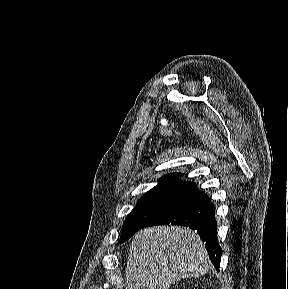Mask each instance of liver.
Returning a JSON list of instances; mask_svg holds the SVG:
<instances>
[{
	"label": "liver",
	"instance_id": "1",
	"mask_svg": "<svg viewBox=\"0 0 288 289\" xmlns=\"http://www.w3.org/2000/svg\"><path fill=\"white\" fill-rule=\"evenodd\" d=\"M211 268L199 235L181 226H154L133 238L125 270L126 289H168Z\"/></svg>",
	"mask_w": 288,
	"mask_h": 289
}]
</instances>
